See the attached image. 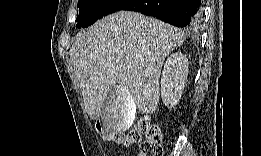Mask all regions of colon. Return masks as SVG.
<instances>
[{"label":"colon","instance_id":"5ec220e1","mask_svg":"<svg viewBox=\"0 0 261 156\" xmlns=\"http://www.w3.org/2000/svg\"><path fill=\"white\" fill-rule=\"evenodd\" d=\"M98 132L102 139L124 146L138 143L144 136L145 140L142 142L139 155L161 156L163 154L161 128L148 117L140 119L128 132L111 131L101 127H98Z\"/></svg>","mask_w":261,"mask_h":156}]
</instances>
